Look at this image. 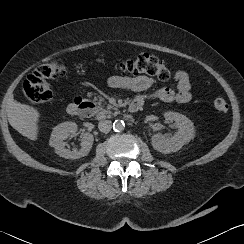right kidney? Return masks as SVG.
Returning <instances> with one entry per match:
<instances>
[{"label": "right kidney", "mask_w": 244, "mask_h": 244, "mask_svg": "<svg viewBox=\"0 0 244 244\" xmlns=\"http://www.w3.org/2000/svg\"><path fill=\"white\" fill-rule=\"evenodd\" d=\"M81 133V129L74 122H65L52 131L50 145L55 149V152L66 159H80L89 154L94 137L90 133H81L82 142L80 144V149L74 148L72 150L65 147V140L68 138H77Z\"/></svg>", "instance_id": "1"}]
</instances>
